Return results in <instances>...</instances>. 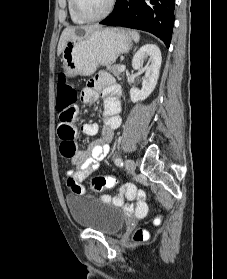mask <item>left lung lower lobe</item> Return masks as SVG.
I'll list each match as a JSON object with an SVG mask.
<instances>
[{
	"mask_svg": "<svg viewBox=\"0 0 227 279\" xmlns=\"http://www.w3.org/2000/svg\"><path fill=\"white\" fill-rule=\"evenodd\" d=\"M175 0H117L113 12L100 24L148 31L171 42Z\"/></svg>",
	"mask_w": 227,
	"mask_h": 279,
	"instance_id": "obj_1",
	"label": "left lung lower lobe"
}]
</instances>
